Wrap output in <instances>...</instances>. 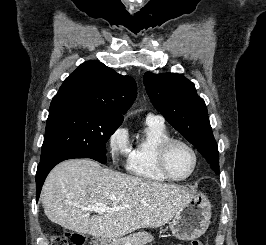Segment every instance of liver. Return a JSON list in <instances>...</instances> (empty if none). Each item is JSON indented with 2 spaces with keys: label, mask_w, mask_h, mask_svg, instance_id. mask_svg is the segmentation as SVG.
Returning <instances> with one entry per match:
<instances>
[{
  "label": "liver",
  "mask_w": 266,
  "mask_h": 245,
  "mask_svg": "<svg viewBox=\"0 0 266 245\" xmlns=\"http://www.w3.org/2000/svg\"><path fill=\"white\" fill-rule=\"evenodd\" d=\"M191 199L193 195L178 185L122 175L103 169L92 159L60 163L49 173L41 191L42 207L49 221L102 239H120L137 229L162 227ZM95 203L120 211L90 217L89 211L80 209Z\"/></svg>",
  "instance_id": "6515ba94"
}]
</instances>
